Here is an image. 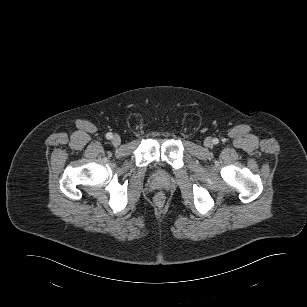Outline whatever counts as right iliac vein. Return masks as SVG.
<instances>
[{"label": "right iliac vein", "instance_id": "63e3f726", "mask_svg": "<svg viewBox=\"0 0 307 307\" xmlns=\"http://www.w3.org/2000/svg\"><path fill=\"white\" fill-rule=\"evenodd\" d=\"M120 142H121L120 137L118 135H114L113 138H112L113 145L117 146V145L120 144Z\"/></svg>", "mask_w": 307, "mask_h": 307}]
</instances>
